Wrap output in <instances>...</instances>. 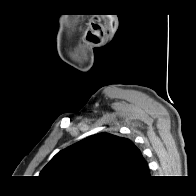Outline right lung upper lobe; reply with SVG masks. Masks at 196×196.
Returning <instances> with one entry per match:
<instances>
[{
	"label": "right lung upper lobe",
	"instance_id": "cb5924a9",
	"mask_svg": "<svg viewBox=\"0 0 196 196\" xmlns=\"http://www.w3.org/2000/svg\"><path fill=\"white\" fill-rule=\"evenodd\" d=\"M39 176L54 183L107 188L140 182L149 177V167L130 139L98 133L58 152Z\"/></svg>",
	"mask_w": 196,
	"mask_h": 196
}]
</instances>
